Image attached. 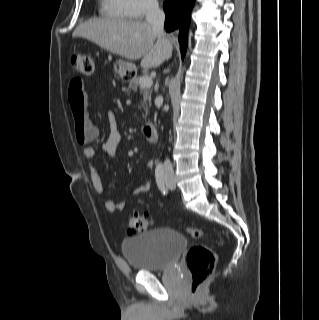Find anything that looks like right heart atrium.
<instances>
[{
  "label": "right heart atrium",
  "instance_id": "right-heart-atrium-1",
  "mask_svg": "<svg viewBox=\"0 0 319 320\" xmlns=\"http://www.w3.org/2000/svg\"><path fill=\"white\" fill-rule=\"evenodd\" d=\"M129 17L143 18L159 8L158 0H122Z\"/></svg>",
  "mask_w": 319,
  "mask_h": 320
}]
</instances>
